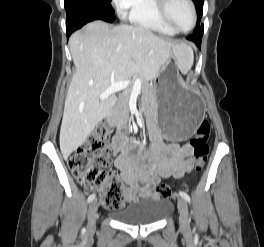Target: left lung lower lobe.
Here are the masks:
<instances>
[{
  "instance_id": "0a47b994",
  "label": "left lung lower lobe",
  "mask_w": 264,
  "mask_h": 247,
  "mask_svg": "<svg viewBox=\"0 0 264 247\" xmlns=\"http://www.w3.org/2000/svg\"><path fill=\"white\" fill-rule=\"evenodd\" d=\"M202 36H203V31L202 32H197V33H193L192 35L188 36L187 39L193 41L198 48H201V40H202Z\"/></svg>"
}]
</instances>
